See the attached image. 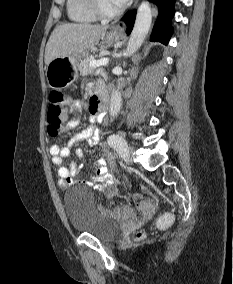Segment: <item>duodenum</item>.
<instances>
[{"label":"duodenum","mask_w":233,"mask_h":284,"mask_svg":"<svg viewBox=\"0 0 233 284\" xmlns=\"http://www.w3.org/2000/svg\"><path fill=\"white\" fill-rule=\"evenodd\" d=\"M98 103H103L105 101V93L102 89H98L97 94L94 96Z\"/></svg>","instance_id":"1"}]
</instances>
